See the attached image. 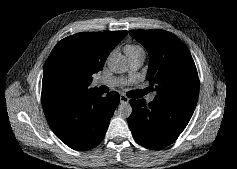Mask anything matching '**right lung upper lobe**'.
Listing matches in <instances>:
<instances>
[{"mask_svg":"<svg viewBox=\"0 0 237 169\" xmlns=\"http://www.w3.org/2000/svg\"><path fill=\"white\" fill-rule=\"evenodd\" d=\"M127 31L83 32L62 39L49 55L42 80L44 112L90 89L92 75L102 70Z\"/></svg>","mask_w":237,"mask_h":169,"instance_id":"cb5924a9","label":"right lung upper lobe"}]
</instances>
